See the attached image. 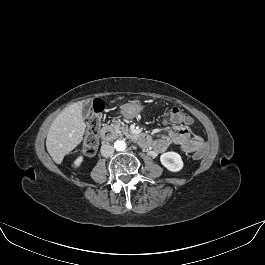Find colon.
Listing matches in <instances>:
<instances>
[{"label":"colon","mask_w":265,"mask_h":265,"mask_svg":"<svg viewBox=\"0 0 265 265\" xmlns=\"http://www.w3.org/2000/svg\"><path fill=\"white\" fill-rule=\"evenodd\" d=\"M103 106L101 103H96L94 105L93 111L87 120V132L82 142L81 151L82 153L90 157L95 154L98 148V132L101 126ZM165 116L169 118H174L181 123H190L191 118L186 113V111L180 107L167 108L164 111ZM203 156L202 151H197L194 153V159H201Z\"/></svg>","instance_id":"obj_1"}]
</instances>
